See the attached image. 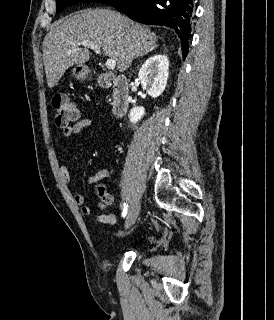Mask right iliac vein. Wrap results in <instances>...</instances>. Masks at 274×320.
I'll return each instance as SVG.
<instances>
[{
  "label": "right iliac vein",
  "instance_id": "right-iliac-vein-1",
  "mask_svg": "<svg viewBox=\"0 0 274 320\" xmlns=\"http://www.w3.org/2000/svg\"><path fill=\"white\" fill-rule=\"evenodd\" d=\"M140 212L139 201L134 202L129 208V212L125 221V230H128L136 221Z\"/></svg>",
  "mask_w": 274,
  "mask_h": 320
}]
</instances>
